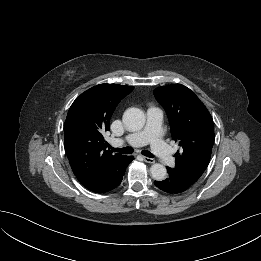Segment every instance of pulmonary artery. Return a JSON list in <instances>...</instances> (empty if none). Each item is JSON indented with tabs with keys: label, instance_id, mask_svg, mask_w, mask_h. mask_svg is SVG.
I'll use <instances>...</instances> for the list:
<instances>
[{
	"label": "pulmonary artery",
	"instance_id": "e3ab8cb5",
	"mask_svg": "<svg viewBox=\"0 0 261 261\" xmlns=\"http://www.w3.org/2000/svg\"><path fill=\"white\" fill-rule=\"evenodd\" d=\"M163 113L157 107H151L147 110V122L142 130L128 134L124 139H117L114 141L115 145H120L124 142L132 146H142L147 143L151 144L153 152L160 158L164 165L172 166L174 164V157L161 138V124Z\"/></svg>",
	"mask_w": 261,
	"mask_h": 261
}]
</instances>
